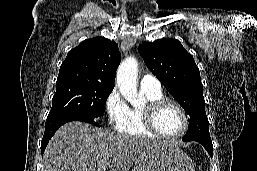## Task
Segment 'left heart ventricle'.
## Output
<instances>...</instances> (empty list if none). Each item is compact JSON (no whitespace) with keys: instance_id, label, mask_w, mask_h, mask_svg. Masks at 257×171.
<instances>
[{"instance_id":"obj_1","label":"left heart ventricle","mask_w":257,"mask_h":171,"mask_svg":"<svg viewBox=\"0 0 257 171\" xmlns=\"http://www.w3.org/2000/svg\"><path fill=\"white\" fill-rule=\"evenodd\" d=\"M155 123L158 130L166 135L178 134L183 128L182 115L172 105H166L157 112Z\"/></svg>"}]
</instances>
